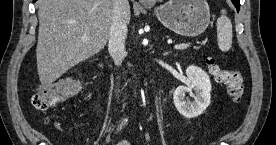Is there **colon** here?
<instances>
[{
  "label": "colon",
  "instance_id": "1",
  "mask_svg": "<svg viewBox=\"0 0 276 145\" xmlns=\"http://www.w3.org/2000/svg\"><path fill=\"white\" fill-rule=\"evenodd\" d=\"M206 68L214 79L224 84L230 98L234 102L241 100L244 94V79L238 70L222 68L214 58L205 62ZM81 83L77 79L65 78L56 83L39 86L32 97V105L37 111H46L63 105L81 91Z\"/></svg>",
  "mask_w": 276,
  "mask_h": 145
}]
</instances>
